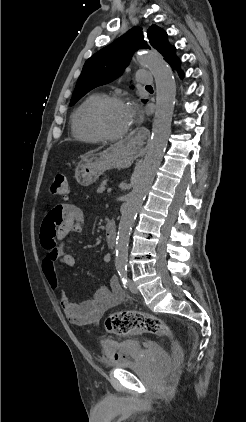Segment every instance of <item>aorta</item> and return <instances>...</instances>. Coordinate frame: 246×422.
<instances>
[{
    "label": "aorta",
    "instance_id": "762f6f07",
    "mask_svg": "<svg viewBox=\"0 0 246 422\" xmlns=\"http://www.w3.org/2000/svg\"><path fill=\"white\" fill-rule=\"evenodd\" d=\"M138 59L151 71L155 78L156 111L149 147L142 164L136 172L133 188L119 223L115 258V266L119 269L126 267L132 226L152 185L167 147L176 97L175 79L171 68L165 60L153 52L142 53L138 55Z\"/></svg>",
    "mask_w": 246,
    "mask_h": 422
}]
</instances>
